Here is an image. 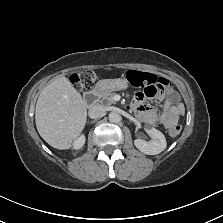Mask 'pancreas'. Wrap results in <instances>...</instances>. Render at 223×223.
I'll return each instance as SVG.
<instances>
[{
  "mask_svg": "<svg viewBox=\"0 0 223 223\" xmlns=\"http://www.w3.org/2000/svg\"><path fill=\"white\" fill-rule=\"evenodd\" d=\"M114 95H115V93L111 92V94L103 96L102 100H106L108 105L116 104V102L114 101Z\"/></svg>",
  "mask_w": 223,
  "mask_h": 223,
  "instance_id": "1",
  "label": "pancreas"
}]
</instances>
